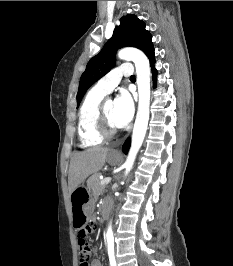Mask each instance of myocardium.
<instances>
[{"label": "myocardium", "mask_w": 233, "mask_h": 266, "mask_svg": "<svg viewBox=\"0 0 233 266\" xmlns=\"http://www.w3.org/2000/svg\"><path fill=\"white\" fill-rule=\"evenodd\" d=\"M110 100V98H104L100 102L96 113V129L98 134L104 139L112 138L117 133V128L111 126L106 117L105 105Z\"/></svg>", "instance_id": "f54148a6"}]
</instances>
